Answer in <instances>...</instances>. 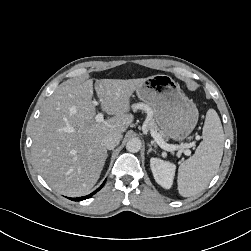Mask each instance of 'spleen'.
Instances as JSON below:
<instances>
[{
    "label": "spleen",
    "instance_id": "spleen-1",
    "mask_svg": "<svg viewBox=\"0 0 251 251\" xmlns=\"http://www.w3.org/2000/svg\"><path fill=\"white\" fill-rule=\"evenodd\" d=\"M203 140L195 154L178 169V191L183 197L201 193L217 173L224 147V132L217 112L209 109L203 126Z\"/></svg>",
    "mask_w": 251,
    "mask_h": 251
}]
</instances>
